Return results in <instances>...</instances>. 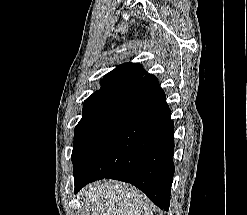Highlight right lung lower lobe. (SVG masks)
<instances>
[{"instance_id":"right-lung-lower-lobe-1","label":"right lung lower lobe","mask_w":247,"mask_h":215,"mask_svg":"<svg viewBox=\"0 0 247 215\" xmlns=\"http://www.w3.org/2000/svg\"><path fill=\"white\" fill-rule=\"evenodd\" d=\"M154 75L126 90L90 129L74 160L77 193L87 183L112 178L129 182L168 210L174 175V123Z\"/></svg>"}]
</instances>
